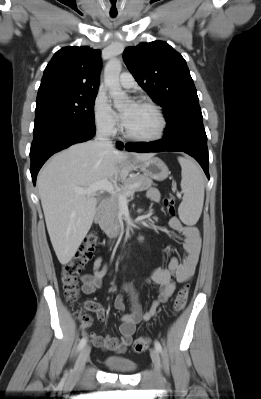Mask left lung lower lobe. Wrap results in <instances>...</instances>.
<instances>
[{"label": "left lung lower lobe", "mask_w": 261, "mask_h": 399, "mask_svg": "<svg viewBox=\"0 0 261 399\" xmlns=\"http://www.w3.org/2000/svg\"><path fill=\"white\" fill-rule=\"evenodd\" d=\"M125 148L134 152H185L198 161L209 179L207 136L203 124L189 126L175 135L154 142L126 144Z\"/></svg>", "instance_id": "0a47b994"}]
</instances>
